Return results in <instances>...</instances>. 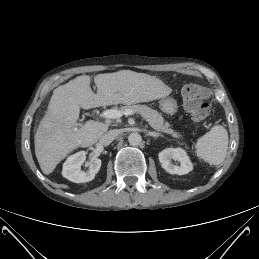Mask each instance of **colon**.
I'll return each instance as SVG.
<instances>
[{"instance_id":"obj_1","label":"colon","mask_w":259,"mask_h":259,"mask_svg":"<svg viewBox=\"0 0 259 259\" xmlns=\"http://www.w3.org/2000/svg\"><path fill=\"white\" fill-rule=\"evenodd\" d=\"M208 90L197 84H187L182 89L183 106L192 121L204 125L210 116V107L206 100Z\"/></svg>"}]
</instances>
